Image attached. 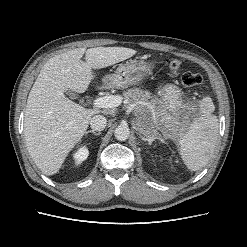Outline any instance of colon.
<instances>
[{
	"label": "colon",
	"mask_w": 247,
	"mask_h": 247,
	"mask_svg": "<svg viewBox=\"0 0 247 247\" xmlns=\"http://www.w3.org/2000/svg\"><path fill=\"white\" fill-rule=\"evenodd\" d=\"M166 66L171 76H177L186 67V62L182 59L170 58L167 60ZM181 81L184 87L191 88L202 82V76L198 73L185 72L182 75Z\"/></svg>",
	"instance_id": "colon-1"
}]
</instances>
